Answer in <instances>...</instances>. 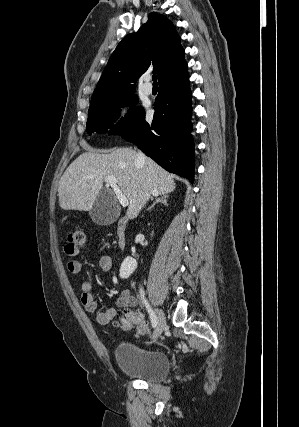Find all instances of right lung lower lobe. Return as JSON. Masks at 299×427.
Instances as JSON below:
<instances>
[{
    "instance_id": "obj_1",
    "label": "right lung lower lobe",
    "mask_w": 299,
    "mask_h": 427,
    "mask_svg": "<svg viewBox=\"0 0 299 427\" xmlns=\"http://www.w3.org/2000/svg\"><path fill=\"white\" fill-rule=\"evenodd\" d=\"M154 119L122 134L169 172L194 179V144L190 131L191 91L187 70L159 82Z\"/></svg>"
}]
</instances>
